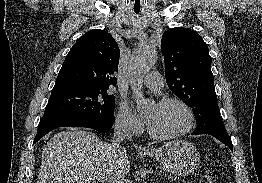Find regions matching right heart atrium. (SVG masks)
Masks as SVG:
<instances>
[{"label": "right heart atrium", "instance_id": "1", "mask_svg": "<svg viewBox=\"0 0 262 183\" xmlns=\"http://www.w3.org/2000/svg\"><path fill=\"white\" fill-rule=\"evenodd\" d=\"M115 126L118 130L125 133L137 134L142 129L139 119L125 104H120L115 118Z\"/></svg>", "mask_w": 262, "mask_h": 183}]
</instances>
